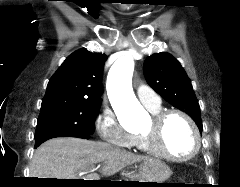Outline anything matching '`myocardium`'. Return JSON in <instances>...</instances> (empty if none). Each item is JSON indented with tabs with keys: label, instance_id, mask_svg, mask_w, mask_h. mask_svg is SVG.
<instances>
[{
	"label": "myocardium",
	"instance_id": "1",
	"mask_svg": "<svg viewBox=\"0 0 240 187\" xmlns=\"http://www.w3.org/2000/svg\"><path fill=\"white\" fill-rule=\"evenodd\" d=\"M171 115H178L182 117L191 129L194 137V146L190 153L185 156H176L164 151L159 146V130L164 123V121ZM153 128L149 132H141V137L144 140L145 146L149 153L171 161L175 162H185L194 158L200 151L201 148V136L197 125L194 120L184 111L178 109H169L164 111H159L152 116Z\"/></svg>",
	"mask_w": 240,
	"mask_h": 187
}]
</instances>
